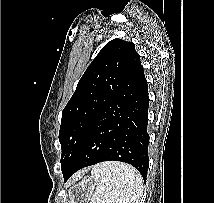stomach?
Wrapping results in <instances>:
<instances>
[{
  "instance_id": "stomach-1",
  "label": "stomach",
  "mask_w": 214,
  "mask_h": 203,
  "mask_svg": "<svg viewBox=\"0 0 214 203\" xmlns=\"http://www.w3.org/2000/svg\"><path fill=\"white\" fill-rule=\"evenodd\" d=\"M95 189L96 184L93 177L86 176L69 188L67 199L64 203H89Z\"/></svg>"
}]
</instances>
